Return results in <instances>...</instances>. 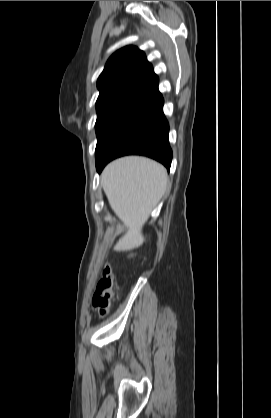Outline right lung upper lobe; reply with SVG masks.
Segmentation results:
<instances>
[{
    "label": "right lung upper lobe",
    "mask_w": 271,
    "mask_h": 418,
    "mask_svg": "<svg viewBox=\"0 0 271 418\" xmlns=\"http://www.w3.org/2000/svg\"><path fill=\"white\" fill-rule=\"evenodd\" d=\"M97 87L100 94L96 104L116 99H135L152 105L163 101L152 65L133 46L124 47L109 58Z\"/></svg>",
    "instance_id": "cb5924a9"
}]
</instances>
